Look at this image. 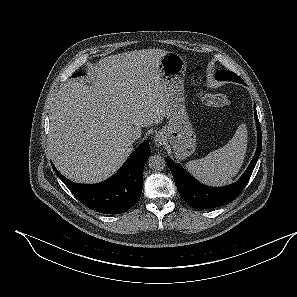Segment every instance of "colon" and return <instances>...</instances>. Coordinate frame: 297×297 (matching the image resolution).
<instances>
[{
  "label": "colon",
  "instance_id": "obj_1",
  "mask_svg": "<svg viewBox=\"0 0 297 297\" xmlns=\"http://www.w3.org/2000/svg\"><path fill=\"white\" fill-rule=\"evenodd\" d=\"M194 84L196 87L199 86V76L195 77ZM199 98L205 106L210 108H227L232 104V99L225 94L199 92Z\"/></svg>",
  "mask_w": 297,
  "mask_h": 297
}]
</instances>
